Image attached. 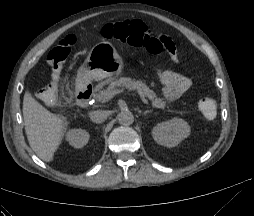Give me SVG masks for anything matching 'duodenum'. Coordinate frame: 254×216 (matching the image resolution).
I'll use <instances>...</instances> for the list:
<instances>
[{
  "label": "duodenum",
  "mask_w": 254,
  "mask_h": 216,
  "mask_svg": "<svg viewBox=\"0 0 254 216\" xmlns=\"http://www.w3.org/2000/svg\"><path fill=\"white\" fill-rule=\"evenodd\" d=\"M93 87L91 84H85L79 87L75 93L76 102L80 106H87L92 96Z\"/></svg>",
  "instance_id": "1"
}]
</instances>
